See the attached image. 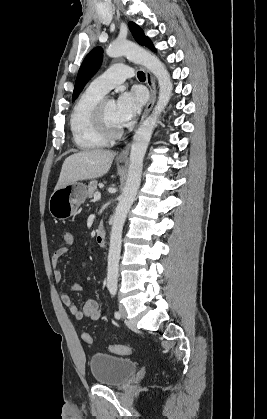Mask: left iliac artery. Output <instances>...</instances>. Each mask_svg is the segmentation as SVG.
<instances>
[{
  "mask_svg": "<svg viewBox=\"0 0 267 419\" xmlns=\"http://www.w3.org/2000/svg\"><path fill=\"white\" fill-rule=\"evenodd\" d=\"M109 291H110V293H111L112 296H115L116 291H117V288L116 287H111L109 289ZM114 316H115L116 319H120L121 314L118 311H115Z\"/></svg>",
  "mask_w": 267,
  "mask_h": 419,
  "instance_id": "obj_1",
  "label": "left iliac artery"
}]
</instances>
